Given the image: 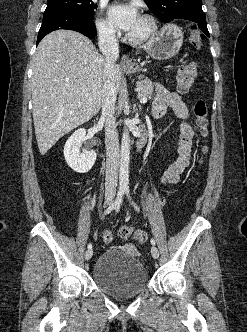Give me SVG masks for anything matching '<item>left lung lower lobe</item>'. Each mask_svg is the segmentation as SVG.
I'll return each mask as SVG.
<instances>
[{
	"instance_id": "0a47b994",
	"label": "left lung lower lobe",
	"mask_w": 247,
	"mask_h": 332,
	"mask_svg": "<svg viewBox=\"0 0 247 332\" xmlns=\"http://www.w3.org/2000/svg\"><path fill=\"white\" fill-rule=\"evenodd\" d=\"M193 26L197 29H200L203 32V34H202L203 39L206 38V36L210 37L208 29H207L206 19L193 21Z\"/></svg>"
}]
</instances>
